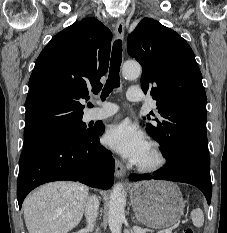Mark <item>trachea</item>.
<instances>
[{"label": "trachea", "mask_w": 227, "mask_h": 233, "mask_svg": "<svg viewBox=\"0 0 227 233\" xmlns=\"http://www.w3.org/2000/svg\"><path fill=\"white\" fill-rule=\"evenodd\" d=\"M121 62H122V41L118 39L113 44L109 76L102 90V94H101L102 100H105V98L112 92L114 88H118L120 86L119 72H120Z\"/></svg>", "instance_id": "obj_1"}]
</instances>
